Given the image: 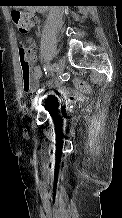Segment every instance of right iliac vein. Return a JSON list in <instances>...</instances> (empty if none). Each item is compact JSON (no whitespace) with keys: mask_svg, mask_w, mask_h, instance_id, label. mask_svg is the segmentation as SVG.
I'll return each mask as SVG.
<instances>
[{"mask_svg":"<svg viewBox=\"0 0 122 218\" xmlns=\"http://www.w3.org/2000/svg\"><path fill=\"white\" fill-rule=\"evenodd\" d=\"M54 71L56 73V76L49 82L48 86L49 87H54L57 85L58 81H59V77L63 71V63L61 60H58V62L54 63ZM44 91V88L38 92L36 98H35V102L38 100V98L40 97L41 92Z\"/></svg>","mask_w":122,"mask_h":218,"instance_id":"right-iliac-vein-1","label":"right iliac vein"}]
</instances>
